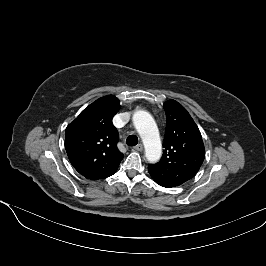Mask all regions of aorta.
Returning <instances> with one entry per match:
<instances>
[{"instance_id":"762f6f07","label":"aorta","mask_w":266,"mask_h":266,"mask_svg":"<svg viewBox=\"0 0 266 266\" xmlns=\"http://www.w3.org/2000/svg\"><path fill=\"white\" fill-rule=\"evenodd\" d=\"M133 124L143 141L147 160L158 161L162 154V146L153 117L147 111L138 110L133 114Z\"/></svg>"}]
</instances>
